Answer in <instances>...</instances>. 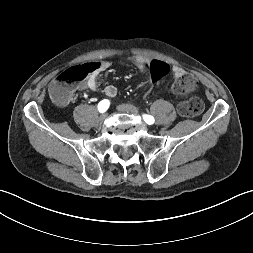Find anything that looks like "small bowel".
I'll list each match as a JSON object with an SVG mask.
<instances>
[{
	"label": "small bowel",
	"mask_w": 253,
	"mask_h": 253,
	"mask_svg": "<svg viewBox=\"0 0 253 253\" xmlns=\"http://www.w3.org/2000/svg\"><path fill=\"white\" fill-rule=\"evenodd\" d=\"M130 61L133 63L135 67H137L140 71H145L146 69H150V64L155 61L153 59L143 57V56H134L130 58ZM96 68L92 74L88 77V79L81 83L77 88L80 91L90 89L95 90L98 86L97 75L100 72H104L111 67V63L109 61H101L98 63H94ZM172 73L175 78H178L181 74L184 73V70L181 67L174 66L172 68ZM104 93L109 98H114L117 95V88L114 85H108L104 89Z\"/></svg>",
	"instance_id": "c3829d8e"
}]
</instances>
